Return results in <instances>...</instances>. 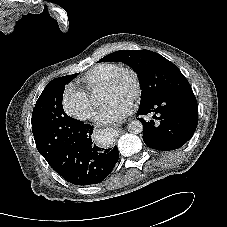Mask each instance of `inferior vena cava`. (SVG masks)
Returning <instances> with one entry per match:
<instances>
[{
  "label": "inferior vena cava",
  "instance_id": "602c4592",
  "mask_svg": "<svg viewBox=\"0 0 227 227\" xmlns=\"http://www.w3.org/2000/svg\"><path fill=\"white\" fill-rule=\"evenodd\" d=\"M86 116L87 117H92L93 116V113H88Z\"/></svg>",
  "mask_w": 227,
  "mask_h": 227
}]
</instances>
